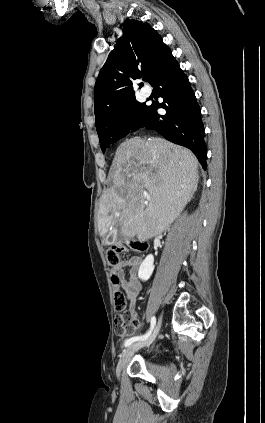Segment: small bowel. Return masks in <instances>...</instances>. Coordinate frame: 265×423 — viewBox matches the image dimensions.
Wrapping results in <instances>:
<instances>
[{"instance_id":"c3829d8e","label":"small bowel","mask_w":265,"mask_h":423,"mask_svg":"<svg viewBox=\"0 0 265 423\" xmlns=\"http://www.w3.org/2000/svg\"><path fill=\"white\" fill-rule=\"evenodd\" d=\"M141 265V258L139 256H132L129 259L121 261L118 265L112 267L111 272L114 277L115 288L117 289V282L120 280L121 287L125 291L126 297L129 300V309L131 312L136 310V302L139 292L142 289V283L138 278V272ZM128 270V277L125 271ZM117 280V282L115 281ZM138 328V319L134 317L133 330L123 336H129L136 332Z\"/></svg>"}]
</instances>
